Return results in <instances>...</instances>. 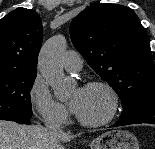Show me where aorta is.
<instances>
[{"instance_id": "762f6f07", "label": "aorta", "mask_w": 155, "mask_h": 149, "mask_svg": "<svg viewBox=\"0 0 155 149\" xmlns=\"http://www.w3.org/2000/svg\"><path fill=\"white\" fill-rule=\"evenodd\" d=\"M66 47V38L56 35L44 44L39 55L40 73L59 98L68 96L72 88V81L63 72L62 58Z\"/></svg>"}]
</instances>
